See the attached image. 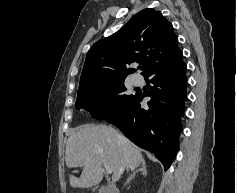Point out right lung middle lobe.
I'll return each mask as SVG.
<instances>
[{
	"label": "right lung middle lobe",
	"instance_id": "dd1d6c3e",
	"mask_svg": "<svg viewBox=\"0 0 237 193\" xmlns=\"http://www.w3.org/2000/svg\"><path fill=\"white\" fill-rule=\"evenodd\" d=\"M125 91L124 79L94 85L77 92L75 107L104 120L119 113L133 99L134 95H127Z\"/></svg>",
	"mask_w": 237,
	"mask_h": 193
}]
</instances>
